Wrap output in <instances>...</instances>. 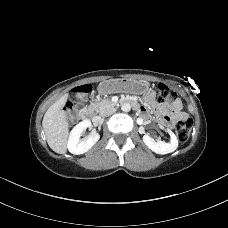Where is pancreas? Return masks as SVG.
I'll return each mask as SVG.
<instances>
[{"mask_svg":"<svg viewBox=\"0 0 228 228\" xmlns=\"http://www.w3.org/2000/svg\"><path fill=\"white\" fill-rule=\"evenodd\" d=\"M114 106V103L108 99H103L100 101H95L91 104V107L97 112L101 113L107 107Z\"/></svg>","mask_w":228,"mask_h":228,"instance_id":"obj_1","label":"pancreas"}]
</instances>
